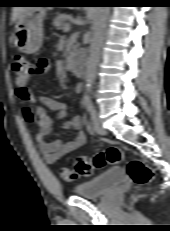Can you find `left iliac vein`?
<instances>
[{"mask_svg": "<svg viewBox=\"0 0 170 231\" xmlns=\"http://www.w3.org/2000/svg\"><path fill=\"white\" fill-rule=\"evenodd\" d=\"M93 129L99 135H106L107 134L106 129L101 124L97 115L93 118Z\"/></svg>", "mask_w": 170, "mask_h": 231, "instance_id": "1", "label": "left iliac vein"}]
</instances>
